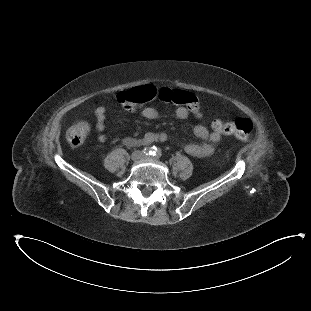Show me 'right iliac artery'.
Masks as SVG:
<instances>
[{
  "label": "right iliac artery",
  "instance_id": "82829eb1",
  "mask_svg": "<svg viewBox=\"0 0 311 311\" xmlns=\"http://www.w3.org/2000/svg\"><path fill=\"white\" fill-rule=\"evenodd\" d=\"M153 150H154V147H145L142 152L145 154V155H152L153 154Z\"/></svg>",
  "mask_w": 311,
  "mask_h": 311
}]
</instances>
